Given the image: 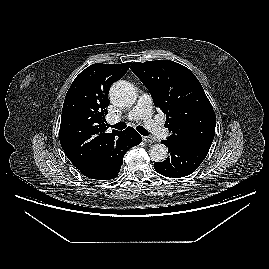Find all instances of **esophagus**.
I'll return each mask as SVG.
<instances>
[{"label":"esophagus","instance_id":"34e87169","mask_svg":"<svg viewBox=\"0 0 269 269\" xmlns=\"http://www.w3.org/2000/svg\"><path fill=\"white\" fill-rule=\"evenodd\" d=\"M142 140H143L144 142H147V143H152V142L155 141V140H154L152 137H150V136H142Z\"/></svg>","mask_w":269,"mask_h":269}]
</instances>
